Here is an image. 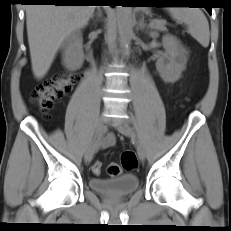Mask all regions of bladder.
<instances>
[{
  "label": "bladder",
  "instance_id": "1",
  "mask_svg": "<svg viewBox=\"0 0 231 231\" xmlns=\"http://www.w3.org/2000/svg\"><path fill=\"white\" fill-rule=\"evenodd\" d=\"M89 187L107 197L121 198L132 194L139 185V179L135 174H124L110 179L90 178Z\"/></svg>",
  "mask_w": 231,
  "mask_h": 231
}]
</instances>
